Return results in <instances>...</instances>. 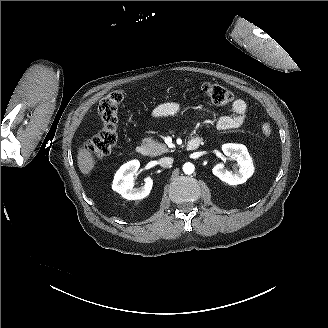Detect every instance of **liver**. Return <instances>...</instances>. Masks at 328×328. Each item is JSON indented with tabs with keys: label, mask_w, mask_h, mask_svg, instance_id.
I'll return each instance as SVG.
<instances>
[{
	"label": "liver",
	"mask_w": 328,
	"mask_h": 328,
	"mask_svg": "<svg viewBox=\"0 0 328 328\" xmlns=\"http://www.w3.org/2000/svg\"><path fill=\"white\" fill-rule=\"evenodd\" d=\"M98 163L95 154L89 150L85 145H81L77 149V164L80 173L83 176H89L96 168Z\"/></svg>",
	"instance_id": "liver-1"
}]
</instances>
